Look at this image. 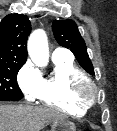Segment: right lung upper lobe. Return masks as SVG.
Returning <instances> with one entry per match:
<instances>
[{
    "label": "right lung upper lobe",
    "instance_id": "right-lung-upper-lobe-1",
    "mask_svg": "<svg viewBox=\"0 0 117 131\" xmlns=\"http://www.w3.org/2000/svg\"><path fill=\"white\" fill-rule=\"evenodd\" d=\"M31 23L27 16L9 14L0 23V64H24Z\"/></svg>",
    "mask_w": 117,
    "mask_h": 131
}]
</instances>
